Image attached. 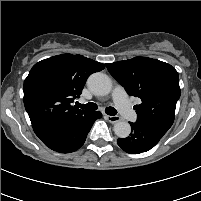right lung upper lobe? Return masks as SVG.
<instances>
[{
    "mask_svg": "<svg viewBox=\"0 0 201 201\" xmlns=\"http://www.w3.org/2000/svg\"><path fill=\"white\" fill-rule=\"evenodd\" d=\"M102 63L82 55L62 54L36 63L24 81V104L32 126L40 123H69L89 113L72 102Z\"/></svg>",
    "mask_w": 201,
    "mask_h": 201,
    "instance_id": "1",
    "label": "right lung upper lobe"
}]
</instances>
